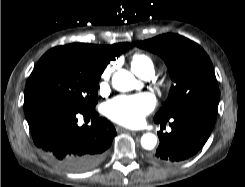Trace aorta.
I'll return each instance as SVG.
<instances>
[{
    "instance_id": "aorta-1",
    "label": "aorta",
    "mask_w": 245,
    "mask_h": 187,
    "mask_svg": "<svg viewBox=\"0 0 245 187\" xmlns=\"http://www.w3.org/2000/svg\"><path fill=\"white\" fill-rule=\"evenodd\" d=\"M134 76L127 70H118L112 77L114 89L126 92L132 90L135 86ZM157 144V137L152 133H146L141 137V145L146 150H152Z\"/></svg>"
}]
</instances>
